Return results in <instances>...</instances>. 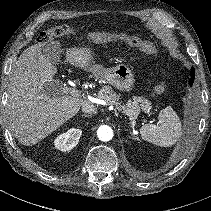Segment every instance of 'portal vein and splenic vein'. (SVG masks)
<instances>
[{
    "instance_id": "portal-vein-and-splenic-vein-1",
    "label": "portal vein and splenic vein",
    "mask_w": 211,
    "mask_h": 211,
    "mask_svg": "<svg viewBox=\"0 0 211 211\" xmlns=\"http://www.w3.org/2000/svg\"><path fill=\"white\" fill-rule=\"evenodd\" d=\"M66 92H69L73 97H76V98L81 97V93L77 89H68V88H66Z\"/></svg>"
}]
</instances>
